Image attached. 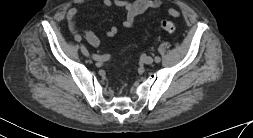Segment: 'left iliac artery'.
Listing matches in <instances>:
<instances>
[{"instance_id":"1","label":"left iliac artery","mask_w":253,"mask_h":138,"mask_svg":"<svg viewBox=\"0 0 253 138\" xmlns=\"http://www.w3.org/2000/svg\"><path fill=\"white\" fill-rule=\"evenodd\" d=\"M154 60L156 63H159L161 61V58L159 56H155Z\"/></svg>"}]
</instances>
